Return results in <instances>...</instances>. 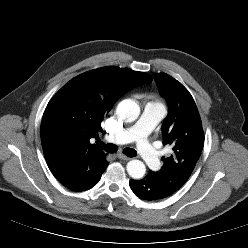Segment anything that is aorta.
Returning <instances> with one entry per match:
<instances>
[{
	"label": "aorta",
	"instance_id": "obj_1",
	"mask_svg": "<svg viewBox=\"0 0 248 248\" xmlns=\"http://www.w3.org/2000/svg\"><path fill=\"white\" fill-rule=\"evenodd\" d=\"M116 114L125 122H133L140 114V107L135 101L125 99L118 104ZM126 167L128 174L133 179H141L145 175L146 167L140 160H131Z\"/></svg>",
	"mask_w": 248,
	"mask_h": 248
}]
</instances>
